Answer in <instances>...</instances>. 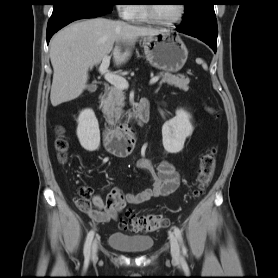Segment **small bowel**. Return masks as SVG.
I'll return each mask as SVG.
<instances>
[{
  "mask_svg": "<svg viewBox=\"0 0 278 278\" xmlns=\"http://www.w3.org/2000/svg\"><path fill=\"white\" fill-rule=\"evenodd\" d=\"M136 167L149 175L150 185L146 189L125 193L120 188H113L105 199L95 194L91 200H77V207L95 222H109L117 220L127 204L137 205L155 197L168 196L180 185V175L169 161L154 166L149 160L141 159Z\"/></svg>",
  "mask_w": 278,
  "mask_h": 278,
  "instance_id": "c3829d8e",
  "label": "small bowel"
}]
</instances>
